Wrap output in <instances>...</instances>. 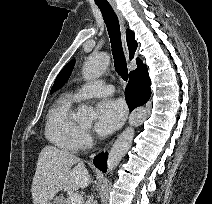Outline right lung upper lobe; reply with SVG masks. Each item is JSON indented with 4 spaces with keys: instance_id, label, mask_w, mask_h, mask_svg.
I'll return each mask as SVG.
<instances>
[{
    "instance_id": "obj_1",
    "label": "right lung upper lobe",
    "mask_w": 212,
    "mask_h": 204,
    "mask_svg": "<svg viewBox=\"0 0 212 204\" xmlns=\"http://www.w3.org/2000/svg\"><path fill=\"white\" fill-rule=\"evenodd\" d=\"M126 39H127V44H128V48H129L130 59H132L134 57V53H135L136 48H137V42L135 41V36H134L133 31L127 29ZM136 63L138 65V67L143 65L142 61L139 58L136 59Z\"/></svg>"
}]
</instances>
